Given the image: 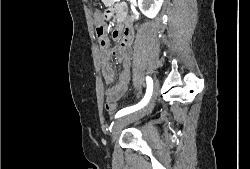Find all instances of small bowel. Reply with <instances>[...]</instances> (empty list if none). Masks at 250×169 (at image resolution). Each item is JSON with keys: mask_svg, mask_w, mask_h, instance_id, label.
<instances>
[{"mask_svg": "<svg viewBox=\"0 0 250 169\" xmlns=\"http://www.w3.org/2000/svg\"><path fill=\"white\" fill-rule=\"evenodd\" d=\"M115 15L119 20L124 18L123 13L118 10ZM99 44L101 46L99 51L101 72L105 83L109 85L105 89L104 95H110V91H115V95H119L121 99L128 88L131 76L132 34L130 29L125 27L119 47L109 46L108 40L103 36L99 38ZM112 58L117 59L122 67L116 82V73L111 64Z\"/></svg>", "mask_w": 250, "mask_h": 169, "instance_id": "c3829d8e", "label": "small bowel"}]
</instances>
